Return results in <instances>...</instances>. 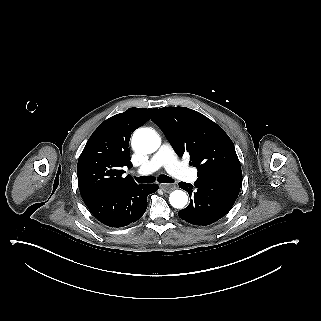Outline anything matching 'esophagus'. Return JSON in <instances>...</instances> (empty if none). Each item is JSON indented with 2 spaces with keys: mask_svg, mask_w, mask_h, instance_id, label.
I'll use <instances>...</instances> for the list:
<instances>
[{
  "mask_svg": "<svg viewBox=\"0 0 321 321\" xmlns=\"http://www.w3.org/2000/svg\"><path fill=\"white\" fill-rule=\"evenodd\" d=\"M160 188L165 192V193H170L174 188V184H161Z\"/></svg>",
  "mask_w": 321,
  "mask_h": 321,
  "instance_id": "1",
  "label": "esophagus"
}]
</instances>
